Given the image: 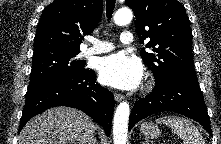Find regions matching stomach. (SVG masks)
Instances as JSON below:
<instances>
[{"label": "stomach", "mask_w": 221, "mask_h": 144, "mask_svg": "<svg viewBox=\"0 0 221 144\" xmlns=\"http://www.w3.org/2000/svg\"><path fill=\"white\" fill-rule=\"evenodd\" d=\"M140 130L147 138H156L160 135V129L153 122H144L141 124Z\"/></svg>", "instance_id": "1"}]
</instances>
